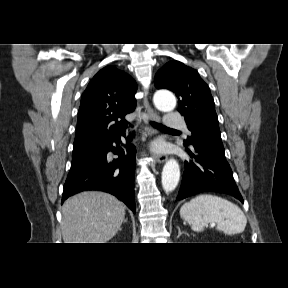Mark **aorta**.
I'll return each mask as SVG.
<instances>
[{
	"instance_id": "obj_1",
	"label": "aorta",
	"mask_w": 288,
	"mask_h": 288,
	"mask_svg": "<svg viewBox=\"0 0 288 288\" xmlns=\"http://www.w3.org/2000/svg\"><path fill=\"white\" fill-rule=\"evenodd\" d=\"M154 104L163 112H170L176 106V99L170 92L159 91L154 95ZM180 179V167L175 159L166 162L162 171V187L166 192L173 191Z\"/></svg>"
}]
</instances>
